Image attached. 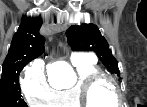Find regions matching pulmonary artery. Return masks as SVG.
I'll list each match as a JSON object with an SVG mask.
<instances>
[{
    "label": "pulmonary artery",
    "mask_w": 147,
    "mask_h": 107,
    "mask_svg": "<svg viewBox=\"0 0 147 107\" xmlns=\"http://www.w3.org/2000/svg\"><path fill=\"white\" fill-rule=\"evenodd\" d=\"M93 57H89L87 54H84L82 52H74L71 56V61L73 63L79 62V61H85V60H93Z\"/></svg>",
    "instance_id": "obj_1"
}]
</instances>
